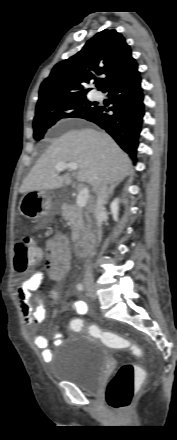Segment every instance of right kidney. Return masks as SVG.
Here are the masks:
<instances>
[{
	"label": "right kidney",
	"instance_id": "obj_1",
	"mask_svg": "<svg viewBox=\"0 0 177 440\" xmlns=\"http://www.w3.org/2000/svg\"><path fill=\"white\" fill-rule=\"evenodd\" d=\"M110 208H111V212H112V214H113V218H114V220L117 221V219H118V210H119V207H118V199H115V200L111 203Z\"/></svg>",
	"mask_w": 177,
	"mask_h": 440
}]
</instances>
